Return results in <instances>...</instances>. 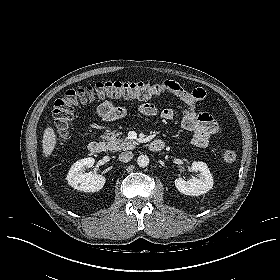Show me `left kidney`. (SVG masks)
I'll list each match as a JSON object with an SVG mask.
<instances>
[{"instance_id": "obj_1", "label": "left kidney", "mask_w": 280, "mask_h": 280, "mask_svg": "<svg viewBox=\"0 0 280 280\" xmlns=\"http://www.w3.org/2000/svg\"><path fill=\"white\" fill-rule=\"evenodd\" d=\"M191 170L198 172V178L192 177L187 181L178 178L175 180V186L179 192L189 196H198L207 193L213 187V177L206 163L194 161Z\"/></svg>"}]
</instances>
